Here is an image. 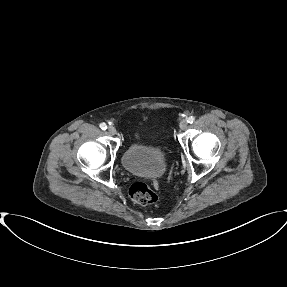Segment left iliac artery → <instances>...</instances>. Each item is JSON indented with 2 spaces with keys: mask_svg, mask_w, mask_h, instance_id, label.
I'll use <instances>...</instances> for the list:
<instances>
[{
  "mask_svg": "<svg viewBox=\"0 0 287 287\" xmlns=\"http://www.w3.org/2000/svg\"><path fill=\"white\" fill-rule=\"evenodd\" d=\"M195 121V117L194 116H190L188 119H187V122L192 124L193 122Z\"/></svg>",
  "mask_w": 287,
  "mask_h": 287,
  "instance_id": "left-iliac-artery-1",
  "label": "left iliac artery"
}]
</instances>
